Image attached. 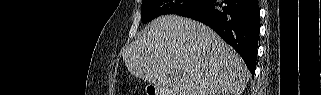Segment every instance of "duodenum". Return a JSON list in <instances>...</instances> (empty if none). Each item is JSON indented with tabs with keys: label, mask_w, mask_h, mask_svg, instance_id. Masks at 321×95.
I'll return each instance as SVG.
<instances>
[{
	"label": "duodenum",
	"mask_w": 321,
	"mask_h": 95,
	"mask_svg": "<svg viewBox=\"0 0 321 95\" xmlns=\"http://www.w3.org/2000/svg\"><path fill=\"white\" fill-rule=\"evenodd\" d=\"M171 93L169 91H163V90H156L155 95H170Z\"/></svg>",
	"instance_id": "1"
}]
</instances>
